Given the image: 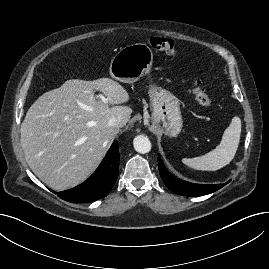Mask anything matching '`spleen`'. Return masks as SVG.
Returning a JSON list of instances; mask_svg holds the SVG:
<instances>
[{
    "label": "spleen",
    "mask_w": 269,
    "mask_h": 269,
    "mask_svg": "<svg viewBox=\"0 0 269 269\" xmlns=\"http://www.w3.org/2000/svg\"><path fill=\"white\" fill-rule=\"evenodd\" d=\"M241 135V120L234 117L223 133L221 143L212 151L195 158H183L182 162L196 170L216 171L228 165L238 149Z\"/></svg>",
    "instance_id": "3e777b00"
}]
</instances>
